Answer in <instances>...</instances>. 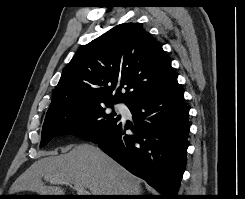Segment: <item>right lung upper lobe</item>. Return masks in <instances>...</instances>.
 Segmentation results:
<instances>
[{"instance_id": "cb5924a9", "label": "right lung upper lobe", "mask_w": 245, "mask_h": 199, "mask_svg": "<svg viewBox=\"0 0 245 199\" xmlns=\"http://www.w3.org/2000/svg\"><path fill=\"white\" fill-rule=\"evenodd\" d=\"M175 82L161 44L141 25L123 23L76 52L63 69L46 116L78 104L117 103L119 97H123L119 102L128 104Z\"/></svg>"}]
</instances>
